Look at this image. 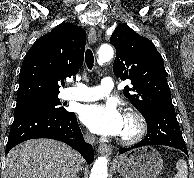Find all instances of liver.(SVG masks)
Returning <instances> with one entry per match:
<instances>
[{"label": "liver", "instance_id": "6515ba94", "mask_svg": "<svg viewBox=\"0 0 194 178\" xmlns=\"http://www.w3.org/2000/svg\"><path fill=\"white\" fill-rule=\"evenodd\" d=\"M82 164V156L65 143L33 139L8 153L3 178H74Z\"/></svg>", "mask_w": 194, "mask_h": 178}]
</instances>
